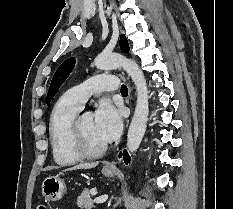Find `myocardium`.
<instances>
[{
  "instance_id": "1",
  "label": "myocardium",
  "mask_w": 233,
  "mask_h": 209,
  "mask_svg": "<svg viewBox=\"0 0 233 209\" xmlns=\"http://www.w3.org/2000/svg\"><path fill=\"white\" fill-rule=\"evenodd\" d=\"M82 117H76L70 128V144L72 150L81 158H97L105 153L107 145H103L98 149L89 148L82 137L80 129V121Z\"/></svg>"
}]
</instances>
